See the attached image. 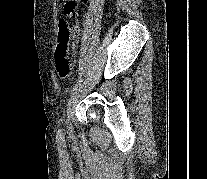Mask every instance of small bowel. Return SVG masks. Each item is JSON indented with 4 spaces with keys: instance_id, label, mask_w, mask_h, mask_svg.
Returning a JSON list of instances; mask_svg holds the SVG:
<instances>
[{
    "instance_id": "small-bowel-1",
    "label": "small bowel",
    "mask_w": 207,
    "mask_h": 179,
    "mask_svg": "<svg viewBox=\"0 0 207 179\" xmlns=\"http://www.w3.org/2000/svg\"><path fill=\"white\" fill-rule=\"evenodd\" d=\"M80 3V0H78V4ZM67 15L68 16H70V17H72V16H75L76 15V13H67ZM61 21H65V20H61ZM60 21V22H61Z\"/></svg>"
}]
</instances>
